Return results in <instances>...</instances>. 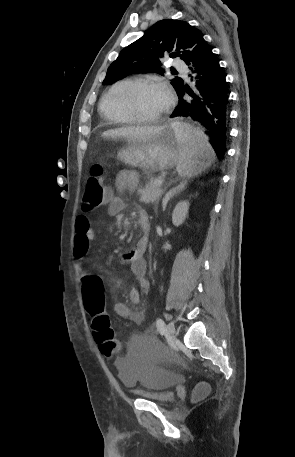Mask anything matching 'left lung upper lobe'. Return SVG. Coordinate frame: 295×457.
I'll use <instances>...</instances> for the list:
<instances>
[{"instance_id":"obj_1","label":"left lung upper lobe","mask_w":295,"mask_h":457,"mask_svg":"<svg viewBox=\"0 0 295 457\" xmlns=\"http://www.w3.org/2000/svg\"><path fill=\"white\" fill-rule=\"evenodd\" d=\"M203 39L200 30L186 21L164 19L155 23L140 39L124 48L110 65L103 84L137 73L164 74L160 57L168 53L187 62L196 44ZM176 92L184 82L181 78L171 81Z\"/></svg>"}]
</instances>
